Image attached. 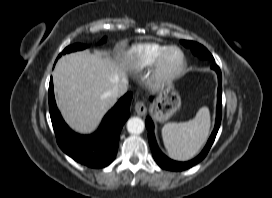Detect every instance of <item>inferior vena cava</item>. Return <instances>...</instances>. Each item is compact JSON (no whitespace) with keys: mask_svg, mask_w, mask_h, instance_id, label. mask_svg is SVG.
<instances>
[{"mask_svg":"<svg viewBox=\"0 0 272 198\" xmlns=\"http://www.w3.org/2000/svg\"><path fill=\"white\" fill-rule=\"evenodd\" d=\"M128 88L127 82H123L120 86H115L109 93L108 95L113 97V98H118L119 96L123 95Z\"/></svg>","mask_w":272,"mask_h":198,"instance_id":"inferior-vena-cava-1","label":"inferior vena cava"}]
</instances>
